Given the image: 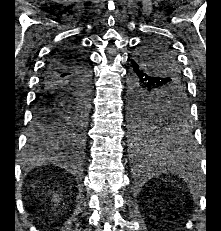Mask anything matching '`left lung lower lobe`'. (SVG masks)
Wrapping results in <instances>:
<instances>
[{
  "instance_id": "obj_1",
  "label": "left lung lower lobe",
  "mask_w": 221,
  "mask_h": 231,
  "mask_svg": "<svg viewBox=\"0 0 221 231\" xmlns=\"http://www.w3.org/2000/svg\"><path fill=\"white\" fill-rule=\"evenodd\" d=\"M161 80L151 75L137 60L131 59V70L129 75V117H134L146 109L149 94L160 91ZM130 120V118H129ZM181 134L176 138L163 136L162 134L139 140L135 137V144L141 150L148 149L151 154V162L159 163L161 154L165 153L171 157V165L182 168L188 156L194 150V144L187 123L178 124ZM169 164V163H168Z\"/></svg>"
}]
</instances>
